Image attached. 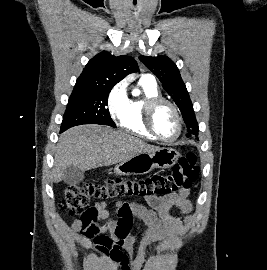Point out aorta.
I'll return each instance as SVG.
<instances>
[{
    "label": "aorta",
    "instance_id": "762f6f07",
    "mask_svg": "<svg viewBox=\"0 0 267 270\" xmlns=\"http://www.w3.org/2000/svg\"><path fill=\"white\" fill-rule=\"evenodd\" d=\"M132 94L135 95V96L138 95V94H139V90H138V89H134V90L132 91Z\"/></svg>",
    "mask_w": 267,
    "mask_h": 270
}]
</instances>
